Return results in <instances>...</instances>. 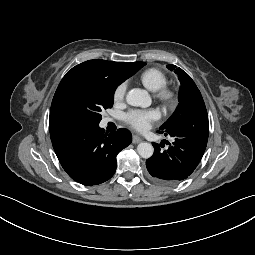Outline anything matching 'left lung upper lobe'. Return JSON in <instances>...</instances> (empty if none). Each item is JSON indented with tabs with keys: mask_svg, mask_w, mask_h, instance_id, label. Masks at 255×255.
I'll return each mask as SVG.
<instances>
[{
	"mask_svg": "<svg viewBox=\"0 0 255 255\" xmlns=\"http://www.w3.org/2000/svg\"><path fill=\"white\" fill-rule=\"evenodd\" d=\"M167 68L174 71L180 80L181 86L179 91V104L174 114L164 125L160 127V130H164L169 127L177 121L182 114L193 107L204 104L199 89L186 72H184L181 68H176L175 65H167Z\"/></svg>",
	"mask_w": 255,
	"mask_h": 255,
	"instance_id": "1",
	"label": "left lung upper lobe"
}]
</instances>
